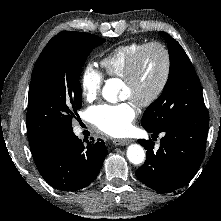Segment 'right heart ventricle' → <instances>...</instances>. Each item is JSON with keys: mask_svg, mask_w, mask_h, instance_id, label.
<instances>
[{"mask_svg": "<svg viewBox=\"0 0 221 221\" xmlns=\"http://www.w3.org/2000/svg\"><path fill=\"white\" fill-rule=\"evenodd\" d=\"M144 45L145 43L143 42H133L111 49L100 61L105 74L109 77L122 78L128 65Z\"/></svg>", "mask_w": 221, "mask_h": 221, "instance_id": "right-heart-ventricle-1", "label": "right heart ventricle"}]
</instances>
